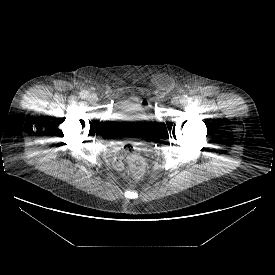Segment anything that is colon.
<instances>
[{
    "label": "colon",
    "mask_w": 275,
    "mask_h": 275,
    "mask_svg": "<svg viewBox=\"0 0 275 275\" xmlns=\"http://www.w3.org/2000/svg\"><path fill=\"white\" fill-rule=\"evenodd\" d=\"M126 161L132 176L139 175L145 168V161L139 151L132 145H125L117 156V162Z\"/></svg>",
    "instance_id": "colon-1"
}]
</instances>
